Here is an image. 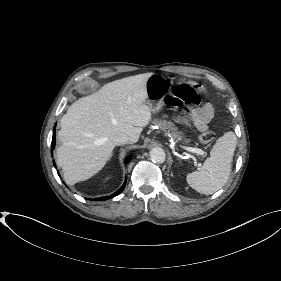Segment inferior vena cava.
Masks as SVG:
<instances>
[{
  "label": "inferior vena cava",
  "mask_w": 281,
  "mask_h": 281,
  "mask_svg": "<svg viewBox=\"0 0 281 281\" xmlns=\"http://www.w3.org/2000/svg\"><path fill=\"white\" fill-rule=\"evenodd\" d=\"M113 142L116 145H123V144L130 143V138L125 134H120L113 138Z\"/></svg>",
  "instance_id": "602c4592"
}]
</instances>
